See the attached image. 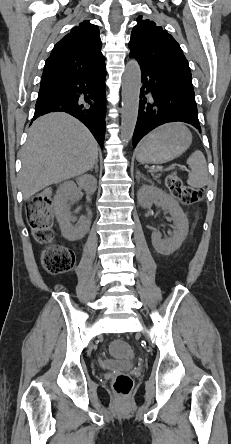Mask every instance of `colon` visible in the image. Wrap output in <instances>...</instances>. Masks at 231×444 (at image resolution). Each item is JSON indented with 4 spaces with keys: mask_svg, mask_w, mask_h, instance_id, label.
<instances>
[{
    "mask_svg": "<svg viewBox=\"0 0 231 444\" xmlns=\"http://www.w3.org/2000/svg\"><path fill=\"white\" fill-rule=\"evenodd\" d=\"M166 186L184 205H192L201 201L205 191L203 188L185 186L181 178L172 173L166 178ZM27 219L35 240L47 244L53 237L52 198L50 191L45 190L34 195L27 205ZM42 264L52 275L69 271L74 265V255L68 248L52 245L42 253ZM114 356L131 357L132 349L122 340H114L110 344ZM133 387V380L127 373H118L113 379V389L121 396L127 395Z\"/></svg>",
    "mask_w": 231,
    "mask_h": 444,
    "instance_id": "1",
    "label": "colon"
}]
</instances>
